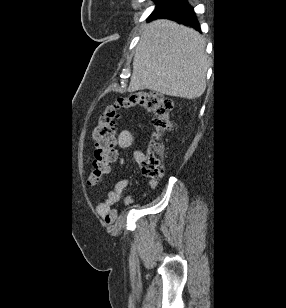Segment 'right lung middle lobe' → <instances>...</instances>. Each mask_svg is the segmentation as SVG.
Masks as SVG:
<instances>
[{
    "label": "right lung middle lobe",
    "instance_id": "dd1d6c3e",
    "mask_svg": "<svg viewBox=\"0 0 286 308\" xmlns=\"http://www.w3.org/2000/svg\"><path fill=\"white\" fill-rule=\"evenodd\" d=\"M156 1V9L155 11L161 10L170 4L173 0H155ZM154 11V12H155Z\"/></svg>",
    "mask_w": 286,
    "mask_h": 308
}]
</instances>
